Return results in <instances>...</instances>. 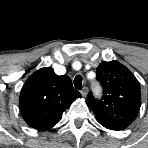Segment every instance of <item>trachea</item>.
Instances as JSON below:
<instances>
[{"label":"trachea","instance_id":"3493384b","mask_svg":"<svg viewBox=\"0 0 148 148\" xmlns=\"http://www.w3.org/2000/svg\"><path fill=\"white\" fill-rule=\"evenodd\" d=\"M74 86L75 89L81 90L82 89V76L81 75H76L74 78Z\"/></svg>","mask_w":148,"mask_h":148}]
</instances>
